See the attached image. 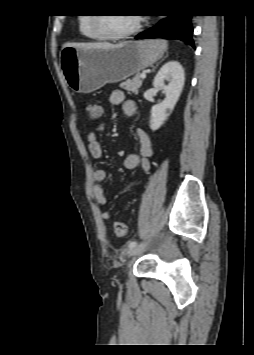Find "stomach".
<instances>
[{
	"label": "stomach",
	"instance_id": "0dacf381",
	"mask_svg": "<svg viewBox=\"0 0 254 355\" xmlns=\"http://www.w3.org/2000/svg\"><path fill=\"white\" fill-rule=\"evenodd\" d=\"M167 50L165 40L128 41L114 48L63 47L60 64L70 88L91 93L152 66Z\"/></svg>",
	"mask_w": 254,
	"mask_h": 355
}]
</instances>
